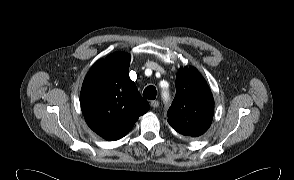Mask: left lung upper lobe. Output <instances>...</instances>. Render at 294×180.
<instances>
[{
	"label": "left lung upper lobe",
	"mask_w": 294,
	"mask_h": 180,
	"mask_svg": "<svg viewBox=\"0 0 294 180\" xmlns=\"http://www.w3.org/2000/svg\"><path fill=\"white\" fill-rule=\"evenodd\" d=\"M214 110L211 91L194 67L180 68L176 95L167 116L169 124L180 134L197 137L209 128Z\"/></svg>",
	"instance_id": "5c2ea615"
}]
</instances>
